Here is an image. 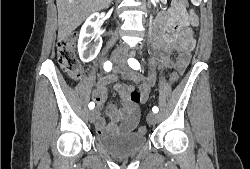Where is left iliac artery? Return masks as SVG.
<instances>
[{"label": "left iliac artery", "instance_id": "44dca946", "mask_svg": "<svg viewBox=\"0 0 250 169\" xmlns=\"http://www.w3.org/2000/svg\"><path fill=\"white\" fill-rule=\"evenodd\" d=\"M128 64H129V66H130L132 69H134V70H139V69H140V63H139L136 59H134V58H129V59H128ZM152 111H153L154 113H157V112L159 111V109H158L157 106H154V107L152 108Z\"/></svg>", "mask_w": 250, "mask_h": 169}]
</instances>
